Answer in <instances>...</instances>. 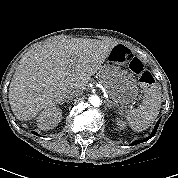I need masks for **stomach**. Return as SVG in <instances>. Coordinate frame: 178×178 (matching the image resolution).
Wrapping results in <instances>:
<instances>
[{"label":"stomach","instance_id":"1","mask_svg":"<svg viewBox=\"0 0 178 178\" xmlns=\"http://www.w3.org/2000/svg\"><path fill=\"white\" fill-rule=\"evenodd\" d=\"M117 44L107 57V62L101 66L98 76L100 82L105 87L110 99L116 105H130L136 100L139 87L132 73L124 67L128 66L129 56L125 51V56H116Z\"/></svg>","mask_w":178,"mask_h":178}]
</instances>
